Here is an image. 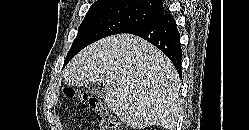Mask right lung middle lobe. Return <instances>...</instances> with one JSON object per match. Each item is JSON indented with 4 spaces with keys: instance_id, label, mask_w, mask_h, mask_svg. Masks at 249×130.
Returning a JSON list of instances; mask_svg holds the SVG:
<instances>
[{
    "instance_id": "obj_1",
    "label": "right lung middle lobe",
    "mask_w": 249,
    "mask_h": 130,
    "mask_svg": "<svg viewBox=\"0 0 249 130\" xmlns=\"http://www.w3.org/2000/svg\"><path fill=\"white\" fill-rule=\"evenodd\" d=\"M158 17L160 15L156 12L134 6L92 5L78 29L64 65L89 44L110 35L125 33Z\"/></svg>"
}]
</instances>
